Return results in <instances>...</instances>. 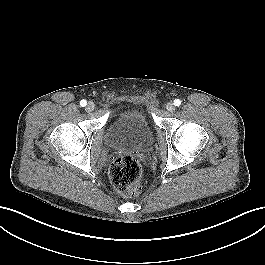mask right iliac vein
Instances as JSON below:
<instances>
[{"label":"right iliac vein","instance_id":"right-iliac-vein-1","mask_svg":"<svg viewBox=\"0 0 265 265\" xmlns=\"http://www.w3.org/2000/svg\"><path fill=\"white\" fill-rule=\"evenodd\" d=\"M94 108H95L94 103L90 101V102L87 104V106H86V111H87V112H92V111L94 110Z\"/></svg>","mask_w":265,"mask_h":265}]
</instances>
